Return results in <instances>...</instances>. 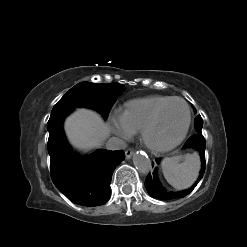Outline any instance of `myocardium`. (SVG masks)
<instances>
[{"mask_svg": "<svg viewBox=\"0 0 247 247\" xmlns=\"http://www.w3.org/2000/svg\"><path fill=\"white\" fill-rule=\"evenodd\" d=\"M175 101H179L182 102L187 110V120H186V124L184 126L183 131L181 132V134L174 140L167 142V143H155L153 142L150 137V131L152 130V128L154 127V125L156 124L157 120L159 119L161 113L163 112V110L172 102ZM191 119H192V114H191V109L189 104L186 102V100H184L183 98L180 97H172L169 100L165 101L164 103H162L152 114V116L149 118V120L146 122V124L144 125V127L141 130V139L142 142L144 143V145L150 149L153 152H166L169 151L173 148H175L176 146H178L186 137L190 125H191Z\"/></svg>", "mask_w": 247, "mask_h": 247, "instance_id": "1", "label": "myocardium"}]
</instances>
